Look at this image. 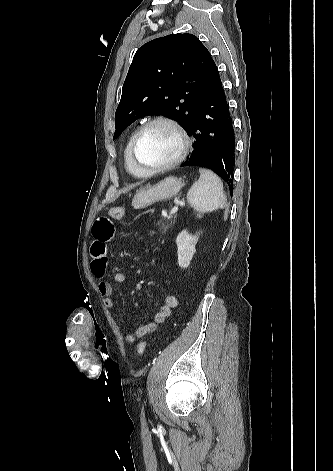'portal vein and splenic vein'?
I'll return each instance as SVG.
<instances>
[{
    "instance_id": "18ae733b",
    "label": "portal vein and splenic vein",
    "mask_w": 333,
    "mask_h": 471,
    "mask_svg": "<svg viewBox=\"0 0 333 471\" xmlns=\"http://www.w3.org/2000/svg\"><path fill=\"white\" fill-rule=\"evenodd\" d=\"M178 211V205H175L172 210L170 211V214H175Z\"/></svg>"
}]
</instances>
